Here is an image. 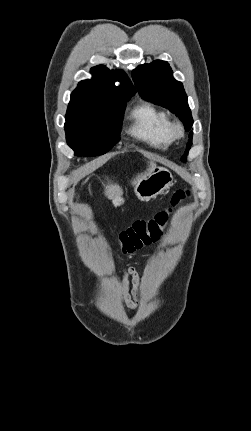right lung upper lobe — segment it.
Wrapping results in <instances>:
<instances>
[{
	"instance_id": "1",
	"label": "right lung upper lobe",
	"mask_w": 251,
	"mask_h": 431,
	"mask_svg": "<svg viewBox=\"0 0 251 431\" xmlns=\"http://www.w3.org/2000/svg\"><path fill=\"white\" fill-rule=\"evenodd\" d=\"M91 74L93 78L79 82L74 92L97 94L118 100L130 99L136 92L123 71L115 72L104 66H96L91 69ZM115 81H121V85L116 87Z\"/></svg>"
}]
</instances>
